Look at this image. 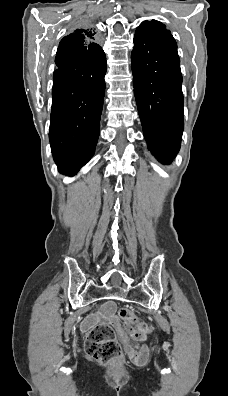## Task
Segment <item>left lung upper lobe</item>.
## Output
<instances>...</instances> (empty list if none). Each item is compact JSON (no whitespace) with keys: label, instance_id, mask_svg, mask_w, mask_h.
<instances>
[{"label":"left lung upper lobe","instance_id":"left-lung-upper-lobe-1","mask_svg":"<svg viewBox=\"0 0 228 396\" xmlns=\"http://www.w3.org/2000/svg\"><path fill=\"white\" fill-rule=\"evenodd\" d=\"M155 28H162V29L167 30L165 25L159 21H156V20L144 21L136 29L135 35L143 36V35L150 34L154 31Z\"/></svg>","mask_w":228,"mask_h":396}]
</instances>
